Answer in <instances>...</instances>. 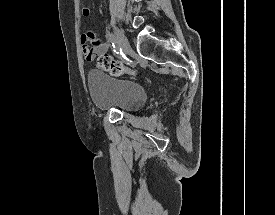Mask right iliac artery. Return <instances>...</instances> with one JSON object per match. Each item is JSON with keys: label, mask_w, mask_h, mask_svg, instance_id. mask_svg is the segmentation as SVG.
Here are the masks:
<instances>
[{"label": "right iliac artery", "mask_w": 275, "mask_h": 215, "mask_svg": "<svg viewBox=\"0 0 275 215\" xmlns=\"http://www.w3.org/2000/svg\"><path fill=\"white\" fill-rule=\"evenodd\" d=\"M106 37L108 40H110L112 42L113 48H114V52L116 54L121 52V47L118 45L116 39L114 38L113 35H111L110 33L106 34Z\"/></svg>", "instance_id": "82829eb1"}]
</instances>
